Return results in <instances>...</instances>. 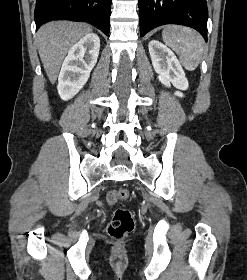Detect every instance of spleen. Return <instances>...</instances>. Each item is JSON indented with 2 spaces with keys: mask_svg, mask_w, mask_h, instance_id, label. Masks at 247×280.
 I'll use <instances>...</instances> for the list:
<instances>
[{
  "mask_svg": "<svg viewBox=\"0 0 247 280\" xmlns=\"http://www.w3.org/2000/svg\"><path fill=\"white\" fill-rule=\"evenodd\" d=\"M162 38L185 69L193 71L198 67L203 54V39L199 33L189 27L168 25L162 31Z\"/></svg>",
  "mask_w": 247,
  "mask_h": 280,
  "instance_id": "obj_1",
  "label": "spleen"
}]
</instances>
